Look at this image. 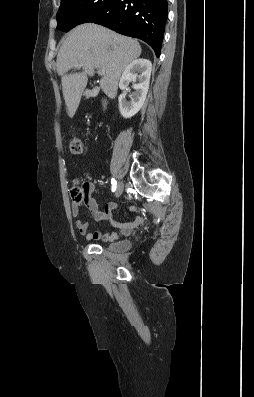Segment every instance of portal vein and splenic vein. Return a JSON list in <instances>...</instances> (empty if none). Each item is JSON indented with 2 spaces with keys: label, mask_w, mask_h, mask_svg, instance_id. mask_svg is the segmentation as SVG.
Wrapping results in <instances>:
<instances>
[{
  "label": "portal vein and splenic vein",
  "mask_w": 254,
  "mask_h": 397,
  "mask_svg": "<svg viewBox=\"0 0 254 397\" xmlns=\"http://www.w3.org/2000/svg\"><path fill=\"white\" fill-rule=\"evenodd\" d=\"M97 73H98L99 75H103V74H104V70H98Z\"/></svg>",
  "instance_id": "obj_1"
}]
</instances>
